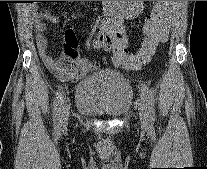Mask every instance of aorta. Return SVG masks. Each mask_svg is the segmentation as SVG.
<instances>
[{
    "label": "aorta",
    "instance_id": "762f6f07",
    "mask_svg": "<svg viewBox=\"0 0 207 169\" xmlns=\"http://www.w3.org/2000/svg\"><path fill=\"white\" fill-rule=\"evenodd\" d=\"M132 4V1H109V9L112 12H128L127 10L130 9H126L127 7H129Z\"/></svg>",
    "mask_w": 207,
    "mask_h": 169
}]
</instances>
